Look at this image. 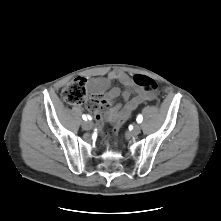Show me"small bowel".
<instances>
[{"label": "small bowel", "mask_w": 221, "mask_h": 221, "mask_svg": "<svg viewBox=\"0 0 221 221\" xmlns=\"http://www.w3.org/2000/svg\"><path fill=\"white\" fill-rule=\"evenodd\" d=\"M137 75L139 74L131 76L124 71L113 70L106 77L86 79L92 96L89 109L96 122L106 120L111 124H122L139 105L156 97L155 92L145 91L135 84L134 77ZM114 81L125 87L122 93L118 87H110ZM120 94L125 101L124 105L114 103Z\"/></svg>", "instance_id": "c3829d8e"}]
</instances>
